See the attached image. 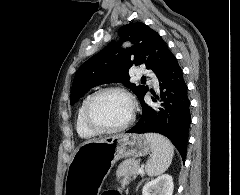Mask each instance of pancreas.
Wrapping results in <instances>:
<instances>
[{
  "label": "pancreas",
  "instance_id": "1",
  "mask_svg": "<svg viewBox=\"0 0 240 195\" xmlns=\"http://www.w3.org/2000/svg\"><path fill=\"white\" fill-rule=\"evenodd\" d=\"M138 169H140L139 159H124V161H121L120 165H118L116 171L117 179H119L120 183H125L127 177L137 175ZM120 177H122V179H120ZM121 189L122 187H117V191H121Z\"/></svg>",
  "mask_w": 240,
  "mask_h": 195
}]
</instances>
